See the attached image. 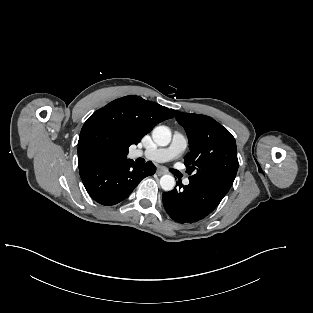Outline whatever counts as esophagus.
<instances>
[{
    "instance_id": "34e87169",
    "label": "esophagus",
    "mask_w": 313,
    "mask_h": 313,
    "mask_svg": "<svg viewBox=\"0 0 313 313\" xmlns=\"http://www.w3.org/2000/svg\"><path fill=\"white\" fill-rule=\"evenodd\" d=\"M167 172L164 170V169H162V168H158L157 169V174L159 175V176H161V175H164V174H166Z\"/></svg>"
}]
</instances>
